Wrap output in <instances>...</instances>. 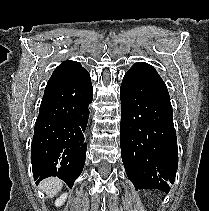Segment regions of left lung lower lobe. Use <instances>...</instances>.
Instances as JSON below:
<instances>
[{"label": "left lung lower lobe", "instance_id": "obj_1", "mask_svg": "<svg viewBox=\"0 0 209 211\" xmlns=\"http://www.w3.org/2000/svg\"><path fill=\"white\" fill-rule=\"evenodd\" d=\"M120 146L136 190L168 193L178 167L177 138L167 87L151 65L135 63L121 88Z\"/></svg>", "mask_w": 209, "mask_h": 211}]
</instances>
